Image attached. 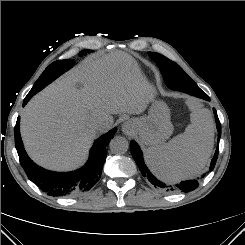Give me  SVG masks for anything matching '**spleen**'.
Returning a JSON list of instances; mask_svg holds the SVG:
<instances>
[{"label":"spleen","instance_id":"spleen-1","mask_svg":"<svg viewBox=\"0 0 245 245\" xmlns=\"http://www.w3.org/2000/svg\"><path fill=\"white\" fill-rule=\"evenodd\" d=\"M191 124L169 142L146 149V161L161 180L176 182L195 177L204 169L213 148L210 111L190 102Z\"/></svg>","mask_w":245,"mask_h":245}]
</instances>
